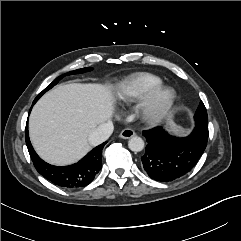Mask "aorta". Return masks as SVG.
<instances>
[{
  "mask_svg": "<svg viewBox=\"0 0 241 241\" xmlns=\"http://www.w3.org/2000/svg\"><path fill=\"white\" fill-rule=\"evenodd\" d=\"M128 147L131 151L140 152L144 148V141L141 137L133 136L128 141Z\"/></svg>",
  "mask_w": 241,
  "mask_h": 241,
  "instance_id": "1",
  "label": "aorta"
}]
</instances>
